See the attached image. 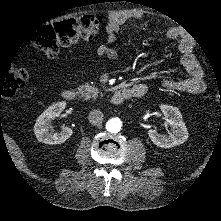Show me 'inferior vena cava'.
Returning a JSON list of instances; mask_svg holds the SVG:
<instances>
[{
	"instance_id": "1",
	"label": "inferior vena cava",
	"mask_w": 221,
	"mask_h": 221,
	"mask_svg": "<svg viewBox=\"0 0 221 221\" xmlns=\"http://www.w3.org/2000/svg\"><path fill=\"white\" fill-rule=\"evenodd\" d=\"M88 121L91 125L99 126L104 121V115L101 110H92L88 115Z\"/></svg>"
}]
</instances>
